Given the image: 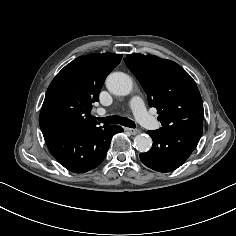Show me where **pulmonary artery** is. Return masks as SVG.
<instances>
[{"mask_svg": "<svg viewBox=\"0 0 236 236\" xmlns=\"http://www.w3.org/2000/svg\"><path fill=\"white\" fill-rule=\"evenodd\" d=\"M130 108L137 119L141 124H146L150 120V116L146 111L143 100L140 97H134L130 102ZM106 111L102 108L96 110V114L102 116Z\"/></svg>", "mask_w": 236, "mask_h": 236, "instance_id": "e3ab8cb5", "label": "pulmonary artery"}]
</instances>
